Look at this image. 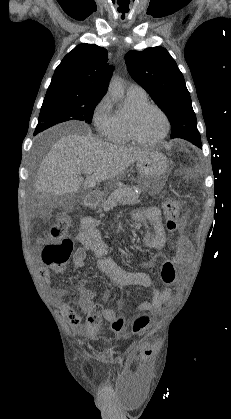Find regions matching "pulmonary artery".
Segmentation results:
<instances>
[{"label":"pulmonary artery","instance_id":"e3ab8cb5","mask_svg":"<svg viewBox=\"0 0 231 419\" xmlns=\"http://www.w3.org/2000/svg\"><path fill=\"white\" fill-rule=\"evenodd\" d=\"M128 92L140 94V95H146V91L138 84H131L128 87Z\"/></svg>","mask_w":231,"mask_h":419}]
</instances>
